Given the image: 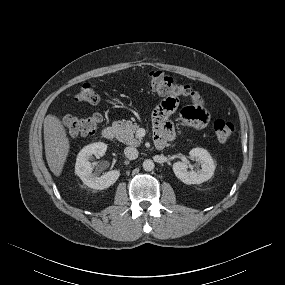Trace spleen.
Returning <instances> with one entry per match:
<instances>
[{"label": "spleen", "mask_w": 285, "mask_h": 285, "mask_svg": "<svg viewBox=\"0 0 285 285\" xmlns=\"http://www.w3.org/2000/svg\"><path fill=\"white\" fill-rule=\"evenodd\" d=\"M231 172L234 173V170L232 169Z\"/></svg>", "instance_id": "3e777b00"}]
</instances>
